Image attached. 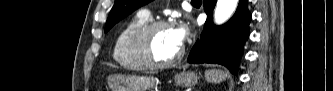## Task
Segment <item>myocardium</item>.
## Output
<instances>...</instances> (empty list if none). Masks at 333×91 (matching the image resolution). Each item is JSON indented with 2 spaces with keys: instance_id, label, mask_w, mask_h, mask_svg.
Segmentation results:
<instances>
[{
  "instance_id": "obj_1",
  "label": "myocardium",
  "mask_w": 333,
  "mask_h": 91,
  "mask_svg": "<svg viewBox=\"0 0 333 91\" xmlns=\"http://www.w3.org/2000/svg\"><path fill=\"white\" fill-rule=\"evenodd\" d=\"M161 28H172L171 23L163 20L153 21L140 27L132 36V49L137 59L146 67L163 69L177 64L183 57L184 49L169 61H157L152 57L151 41L153 34Z\"/></svg>"
}]
</instances>
